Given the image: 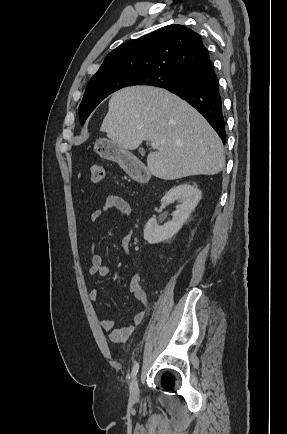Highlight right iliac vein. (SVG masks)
I'll list each match as a JSON object with an SVG mask.
<instances>
[{
  "label": "right iliac vein",
  "mask_w": 287,
  "mask_h": 434,
  "mask_svg": "<svg viewBox=\"0 0 287 434\" xmlns=\"http://www.w3.org/2000/svg\"><path fill=\"white\" fill-rule=\"evenodd\" d=\"M130 395L133 399H136L139 397V383H138L137 377H135L131 382Z\"/></svg>",
  "instance_id": "1"
}]
</instances>
